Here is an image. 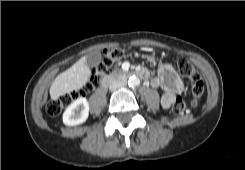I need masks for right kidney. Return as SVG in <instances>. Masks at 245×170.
I'll return each mask as SVG.
<instances>
[{"mask_svg": "<svg viewBox=\"0 0 245 170\" xmlns=\"http://www.w3.org/2000/svg\"><path fill=\"white\" fill-rule=\"evenodd\" d=\"M89 116V104L86 98H78L72 102L64 111L62 119L67 126L79 125L87 120Z\"/></svg>", "mask_w": 245, "mask_h": 170, "instance_id": "ca27d5eb", "label": "right kidney"}]
</instances>
